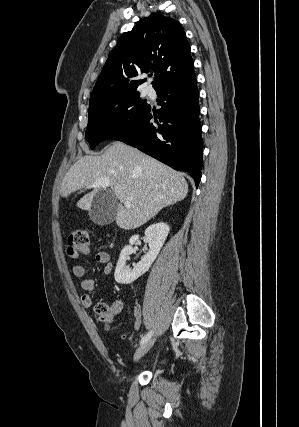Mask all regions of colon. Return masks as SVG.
Segmentation results:
<instances>
[{
	"mask_svg": "<svg viewBox=\"0 0 299 427\" xmlns=\"http://www.w3.org/2000/svg\"><path fill=\"white\" fill-rule=\"evenodd\" d=\"M90 249L89 232L87 229H76L69 237V246L67 253L69 257L76 258L79 255L87 254ZM95 312L104 322H109L113 318L109 312L110 309L104 303H98L95 306Z\"/></svg>",
	"mask_w": 299,
	"mask_h": 427,
	"instance_id": "colon-1",
	"label": "colon"
}]
</instances>
